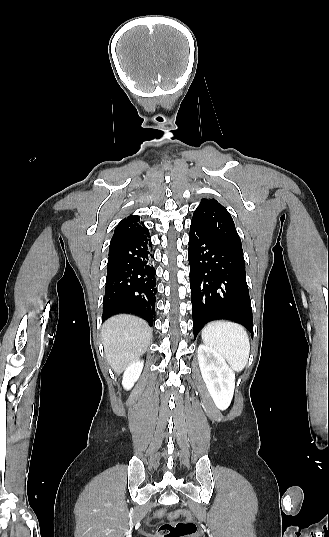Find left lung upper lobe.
<instances>
[{
	"mask_svg": "<svg viewBox=\"0 0 329 537\" xmlns=\"http://www.w3.org/2000/svg\"><path fill=\"white\" fill-rule=\"evenodd\" d=\"M191 224L210 236L242 250L241 239L230 213L215 199H202L193 214Z\"/></svg>",
	"mask_w": 329,
	"mask_h": 537,
	"instance_id": "obj_1",
	"label": "left lung upper lobe"
}]
</instances>
